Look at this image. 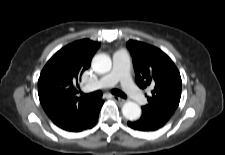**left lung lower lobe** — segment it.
<instances>
[{
    "label": "left lung lower lobe",
    "mask_w": 225,
    "mask_h": 155,
    "mask_svg": "<svg viewBox=\"0 0 225 155\" xmlns=\"http://www.w3.org/2000/svg\"><path fill=\"white\" fill-rule=\"evenodd\" d=\"M170 119V116L163 114H142L136 121H129L128 126L139 131H155L161 128Z\"/></svg>",
    "instance_id": "0a47b994"
}]
</instances>
